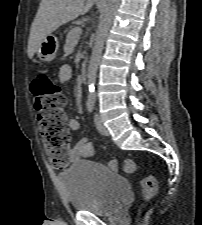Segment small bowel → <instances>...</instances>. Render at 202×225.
Returning a JSON list of instances; mask_svg holds the SVG:
<instances>
[{
  "instance_id": "small-bowel-1",
  "label": "small bowel",
  "mask_w": 202,
  "mask_h": 225,
  "mask_svg": "<svg viewBox=\"0 0 202 225\" xmlns=\"http://www.w3.org/2000/svg\"><path fill=\"white\" fill-rule=\"evenodd\" d=\"M73 77V69L69 65L63 66L58 73V81L66 84L71 81ZM68 125L71 132H79L81 130L80 121L75 117L68 119ZM94 157V149L87 138L79 139L71 148L68 159L71 162H76L81 159H91Z\"/></svg>"
}]
</instances>
